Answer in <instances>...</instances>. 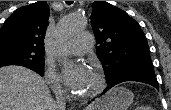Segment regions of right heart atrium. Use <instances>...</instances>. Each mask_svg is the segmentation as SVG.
Wrapping results in <instances>:
<instances>
[{"label":"right heart atrium","mask_w":171,"mask_h":110,"mask_svg":"<svg viewBox=\"0 0 171 110\" xmlns=\"http://www.w3.org/2000/svg\"><path fill=\"white\" fill-rule=\"evenodd\" d=\"M45 78L51 89L56 94H61L64 92L59 75L56 73L55 69L49 63L46 64Z\"/></svg>","instance_id":"right-heart-atrium-1"}]
</instances>
